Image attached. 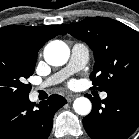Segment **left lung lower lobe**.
Wrapping results in <instances>:
<instances>
[{
  "label": "left lung lower lobe",
  "mask_w": 139,
  "mask_h": 139,
  "mask_svg": "<svg viewBox=\"0 0 139 139\" xmlns=\"http://www.w3.org/2000/svg\"><path fill=\"white\" fill-rule=\"evenodd\" d=\"M104 100L88 96L92 111L83 125L92 139H127L139 126V80L128 82Z\"/></svg>",
  "instance_id": "left-lung-lower-lobe-1"
}]
</instances>
